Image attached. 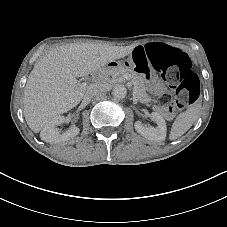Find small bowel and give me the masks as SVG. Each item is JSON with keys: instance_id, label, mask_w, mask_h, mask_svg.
Wrapping results in <instances>:
<instances>
[{"instance_id": "1", "label": "small bowel", "mask_w": 227, "mask_h": 227, "mask_svg": "<svg viewBox=\"0 0 227 227\" xmlns=\"http://www.w3.org/2000/svg\"><path fill=\"white\" fill-rule=\"evenodd\" d=\"M135 52L140 53L142 56H144L145 59H146V61H147L148 64H149V61H148V59H147L146 45H144V46H139V47L135 48V50L133 51V53H135Z\"/></svg>"}]
</instances>
